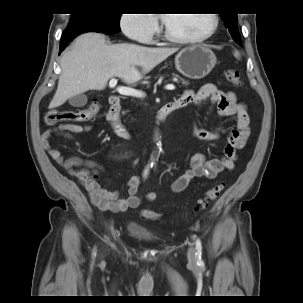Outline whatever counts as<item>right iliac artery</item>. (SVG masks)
Here are the masks:
<instances>
[{"label": "right iliac artery", "instance_id": "82829eb1", "mask_svg": "<svg viewBox=\"0 0 303 303\" xmlns=\"http://www.w3.org/2000/svg\"><path fill=\"white\" fill-rule=\"evenodd\" d=\"M148 172H149V167H147L145 170H144V177H146L148 175ZM95 249L93 250V256H95Z\"/></svg>", "mask_w": 303, "mask_h": 303}]
</instances>
